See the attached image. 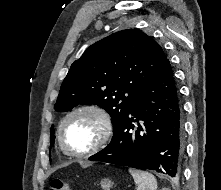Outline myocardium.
Masks as SVG:
<instances>
[{
	"mask_svg": "<svg viewBox=\"0 0 221 190\" xmlns=\"http://www.w3.org/2000/svg\"><path fill=\"white\" fill-rule=\"evenodd\" d=\"M91 113L99 121L100 130L95 143L86 150L76 151L67 147L63 140V129L66 122L76 114L79 113ZM113 133V121L109 112L100 105L97 104H82L71 109L60 121L58 127V141L61 149L68 155L74 157H85L92 155L102 149L109 141Z\"/></svg>",
	"mask_w": 221,
	"mask_h": 190,
	"instance_id": "myocardium-1",
	"label": "myocardium"
}]
</instances>
